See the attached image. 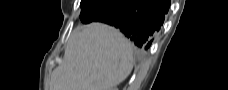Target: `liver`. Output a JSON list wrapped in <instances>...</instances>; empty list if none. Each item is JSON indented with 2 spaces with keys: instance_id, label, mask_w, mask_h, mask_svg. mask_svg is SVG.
Here are the masks:
<instances>
[{
  "instance_id": "obj_1",
  "label": "liver",
  "mask_w": 228,
  "mask_h": 90,
  "mask_svg": "<svg viewBox=\"0 0 228 90\" xmlns=\"http://www.w3.org/2000/svg\"><path fill=\"white\" fill-rule=\"evenodd\" d=\"M132 68L131 43L116 29L92 23L71 34L50 90H112Z\"/></svg>"
}]
</instances>
